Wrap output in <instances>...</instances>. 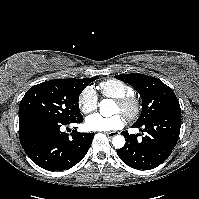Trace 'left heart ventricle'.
Returning a JSON list of instances; mask_svg holds the SVG:
<instances>
[{
    "mask_svg": "<svg viewBox=\"0 0 199 199\" xmlns=\"http://www.w3.org/2000/svg\"><path fill=\"white\" fill-rule=\"evenodd\" d=\"M115 111H116V112H117V111H120V107H119L118 104H116V106H115Z\"/></svg>",
    "mask_w": 199,
    "mask_h": 199,
    "instance_id": "1",
    "label": "left heart ventricle"
}]
</instances>
